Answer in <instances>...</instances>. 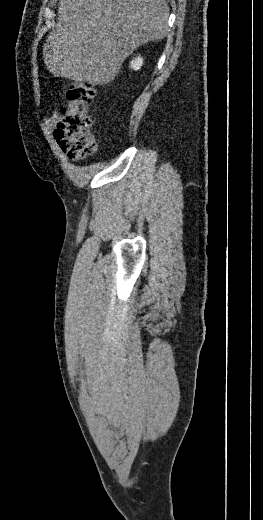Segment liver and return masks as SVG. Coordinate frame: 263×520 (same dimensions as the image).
<instances>
[{
	"instance_id": "6515ba94",
	"label": "liver",
	"mask_w": 263,
	"mask_h": 520,
	"mask_svg": "<svg viewBox=\"0 0 263 520\" xmlns=\"http://www.w3.org/2000/svg\"><path fill=\"white\" fill-rule=\"evenodd\" d=\"M168 17L165 0H60L44 63L55 77L109 84L136 48L167 35Z\"/></svg>"
}]
</instances>
